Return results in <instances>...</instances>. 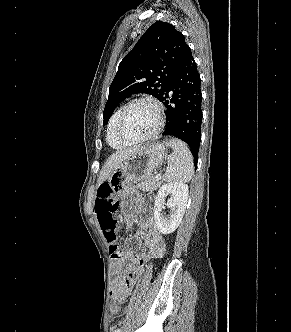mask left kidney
<instances>
[{"mask_svg":"<svg viewBox=\"0 0 291 332\" xmlns=\"http://www.w3.org/2000/svg\"><path fill=\"white\" fill-rule=\"evenodd\" d=\"M170 195L166 206L170 208V216L165 218L161 214L162 207L165 203V197ZM188 200V185L181 182L164 184L158 190L154 203V220L157 229L162 234L174 232L185 213Z\"/></svg>","mask_w":291,"mask_h":332,"instance_id":"obj_1","label":"left kidney"}]
</instances>
